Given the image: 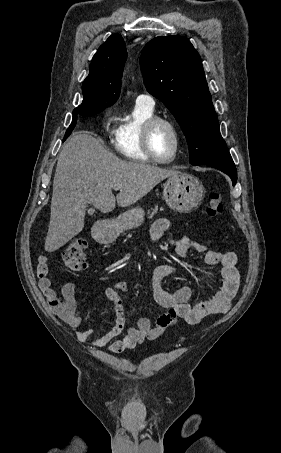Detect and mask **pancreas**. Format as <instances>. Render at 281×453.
I'll use <instances>...</instances> for the list:
<instances>
[{
	"label": "pancreas",
	"instance_id": "cf45deb5",
	"mask_svg": "<svg viewBox=\"0 0 281 453\" xmlns=\"http://www.w3.org/2000/svg\"><path fill=\"white\" fill-rule=\"evenodd\" d=\"M152 212H148L149 216L148 218H152L154 216L155 212H157L158 208L155 206V208H151Z\"/></svg>",
	"mask_w": 281,
	"mask_h": 453
}]
</instances>
